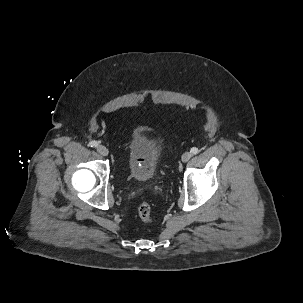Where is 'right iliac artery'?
<instances>
[{
	"instance_id": "obj_1",
	"label": "right iliac artery",
	"mask_w": 303,
	"mask_h": 303,
	"mask_svg": "<svg viewBox=\"0 0 303 303\" xmlns=\"http://www.w3.org/2000/svg\"><path fill=\"white\" fill-rule=\"evenodd\" d=\"M89 145H90L91 147H97V146H98V142H97V141H91V142L89 143Z\"/></svg>"
}]
</instances>
